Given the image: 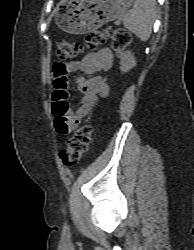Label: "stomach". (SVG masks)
<instances>
[{
	"label": "stomach",
	"mask_w": 194,
	"mask_h": 250,
	"mask_svg": "<svg viewBox=\"0 0 194 250\" xmlns=\"http://www.w3.org/2000/svg\"><path fill=\"white\" fill-rule=\"evenodd\" d=\"M134 0H62L55 22L62 30L84 34L120 18Z\"/></svg>",
	"instance_id": "0dacf381"
}]
</instances>
